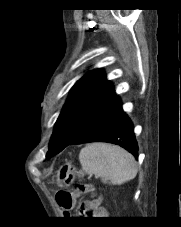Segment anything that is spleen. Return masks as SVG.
Returning a JSON list of instances; mask_svg holds the SVG:
<instances>
[{"mask_svg": "<svg viewBox=\"0 0 181 227\" xmlns=\"http://www.w3.org/2000/svg\"><path fill=\"white\" fill-rule=\"evenodd\" d=\"M82 170L101 177L103 183L121 185L135 178L137 165L134 157L119 146L92 143L81 149Z\"/></svg>", "mask_w": 181, "mask_h": 227, "instance_id": "obj_1", "label": "spleen"}]
</instances>
